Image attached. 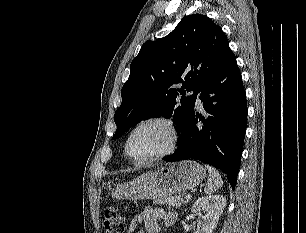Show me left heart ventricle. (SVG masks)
I'll use <instances>...</instances> for the list:
<instances>
[{
    "instance_id": "1",
    "label": "left heart ventricle",
    "mask_w": 306,
    "mask_h": 233,
    "mask_svg": "<svg viewBox=\"0 0 306 233\" xmlns=\"http://www.w3.org/2000/svg\"><path fill=\"white\" fill-rule=\"evenodd\" d=\"M170 134L161 123H150L139 128L131 137L128 150L132 157L143 158L165 150Z\"/></svg>"
}]
</instances>
